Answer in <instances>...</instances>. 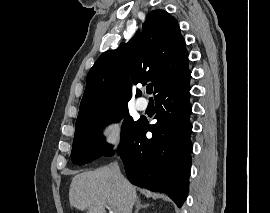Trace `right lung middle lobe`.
<instances>
[{
	"label": "right lung middle lobe",
	"mask_w": 270,
	"mask_h": 213,
	"mask_svg": "<svg viewBox=\"0 0 270 213\" xmlns=\"http://www.w3.org/2000/svg\"><path fill=\"white\" fill-rule=\"evenodd\" d=\"M128 115V106L125 105L76 122L71 152L72 162L78 165L86 164L112 151V146L101 136L102 127L126 116L122 125L121 140H123L138 124V121H133Z\"/></svg>",
	"instance_id": "1"
}]
</instances>
